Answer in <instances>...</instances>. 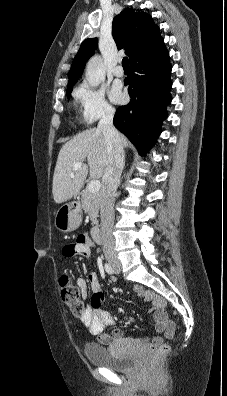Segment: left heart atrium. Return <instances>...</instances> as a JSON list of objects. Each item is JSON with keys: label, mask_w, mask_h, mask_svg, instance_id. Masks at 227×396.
<instances>
[{"label": "left heart atrium", "mask_w": 227, "mask_h": 396, "mask_svg": "<svg viewBox=\"0 0 227 396\" xmlns=\"http://www.w3.org/2000/svg\"><path fill=\"white\" fill-rule=\"evenodd\" d=\"M110 97L114 102L120 103L124 100V95L119 87H113Z\"/></svg>", "instance_id": "left-heart-atrium-1"}]
</instances>
